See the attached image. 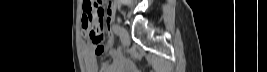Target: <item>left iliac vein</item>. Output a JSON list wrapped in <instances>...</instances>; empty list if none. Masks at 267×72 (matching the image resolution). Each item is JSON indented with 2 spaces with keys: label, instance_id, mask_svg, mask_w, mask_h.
Returning <instances> with one entry per match:
<instances>
[{
  "label": "left iliac vein",
  "instance_id": "1",
  "mask_svg": "<svg viewBox=\"0 0 267 72\" xmlns=\"http://www.w3.org/2000/svg\"><path fill=\"white\" fill-rule=\"evenodd\" d=\"M120 37L123 45H126L129 42V33L124 28L120 29Z\"/></svg>",
  "mask_w": 267,
  "mask_h": 72
}]
</instances>
